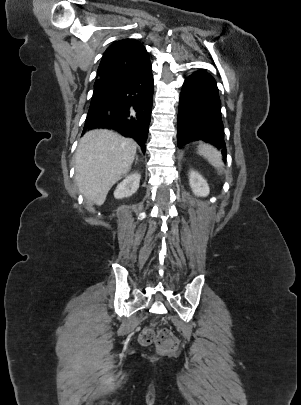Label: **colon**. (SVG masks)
Returning a JSON list of instances; mask_svg holds the SVG:
<instances>
[{
    "mask_svg": "<svg viewBox=\"0 0 301 405\" xmlns=\"http://www.w3.org/2000/svg\"><path fill=\"white\" fill-rule=\"evenodd\" d=\"M138 341L142 346L154 345L160 354L174 351L178 346L177 337L167 328L156 331L153 327H145L140 332Z\"/></svg>",
    "mask_w": 301,
    "mask_h": 405,
    "instance_id": "colon-1",
    "label": "colon"
}]
</instances>
